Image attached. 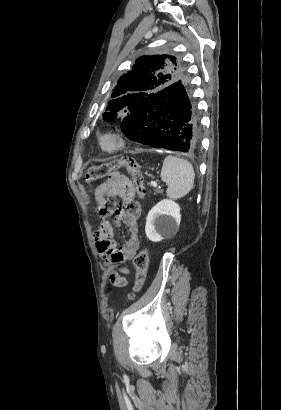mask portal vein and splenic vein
Returning a JSON list of instances; mask_svg holds the SVG:
<instances>
[{"label": "portal vein and splenic vein", "instance_id": "1", "mask_svg": "<svg viewBox=\"0 0 281 410\" xmlns=\"http://www.w3.org/2000/svg\"><path fill=\"white\" fill-rule=\"evenodd\" d=\"M151 186H153V187H157V183L155 182V181H151Z\"/></svg>", "mask_w": 281, "mask_h": 410}]
</instances>
